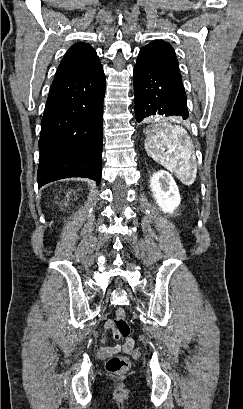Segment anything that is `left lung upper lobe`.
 <instances>
[{"label": "left lung upper lobe", "mask_w": 243, "mask_h": 409, "mask_svg": "<svg viewBox=\"0 0 243 409\" xmlns=\"http://www.w3.org/2000/svg\"><path fill=\"white\" fill-rule=\"evenodd\" d=\"M137 63L181 77L175 51L163 40H155L144 46L139 52Z\"/></svg>", "instance_id": "left-lung-upper-lobe-1"}]
</instances>
